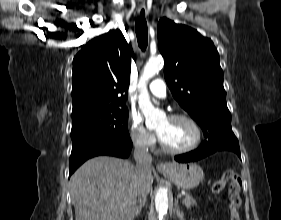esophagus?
<instances>
[{"label":"esophagus","mask_w":281,"mask_h":220,"mask_svg":"<svg viewBox=\"0 0 281 220\" xmlns=\"http://www.w3.org/2000/svg\"><path fill=\"white\" fill-rule=\"evenodd\" d=\"M139 17L144 18L147 15L145 6H140L137 10ZM172 169V164L169 162L160 163L157 165V170L160 172H168Z\"/></svg>","instance_id":"obj_1"}]
</instances>
